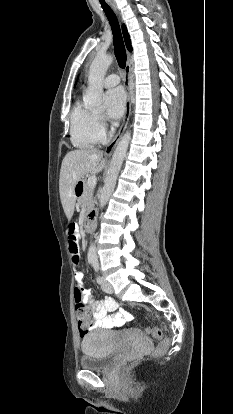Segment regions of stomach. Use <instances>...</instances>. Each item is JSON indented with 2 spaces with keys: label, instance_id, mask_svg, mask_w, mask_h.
<instances>
[{
  "label": "stomach",
  "instance_id": "0dacf381",
  "mask_svg": "<svg viewBox=\"0 0 233 414\" xmlns=\"http://www.w3.org/2000/svg\"><path fill=\"white\" fill-rule=\"evenodd\" d=\"M82 190H83L82 187L79 186L78 183H77L76 186H75V188H74V194H75V196L80 197L83 194V191Z\"/></svg>",
  "mask_w": 233,
  "mask_h": 414
}]
</instances>
